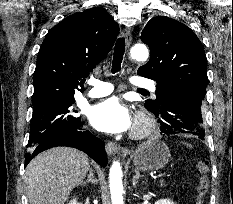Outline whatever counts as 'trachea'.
<instances>
[{
    "label": "trachea",
    "mask_w": 233,
    "mask_h": 204,
    "mask_svg": "<svg viewBox=\"0 0 233 204\" xmlns=\"http://www.w3.org/2000/svg\"><path fill=\"white\" fill-rule=\"evenodd\" d=\"M125 53V40L124 38H118L115 47H114V56L112 61V70L111 72L114 74L121 70V63L123 60V56ZM139 91H146L144 89H138Z\"/></svg>",
    "instance_id": "1"
}]
</instances>
